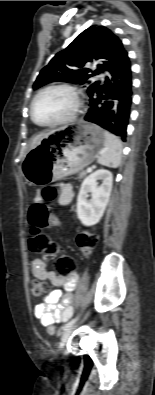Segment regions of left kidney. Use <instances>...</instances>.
<instances>
[{"label":"left kidney","instance_id":"left-kidney-1","mask_svg":"<svg viewBox=\"0 0 155 395\" xmlns=\"http://www.w3.org/2000/svg\"><path fill=\"white\" fill-rule=\"evenodd\" d=\"M98 180L103 184L98 186ZM113 175L105 169L97 170L87 176L81 184L77 198V216L85 226L97 224L106 209L112 190ZM88 193L92 198L88 200Z\"/></svg>","mask_w":155,"mask_h":395}]
</instances>
